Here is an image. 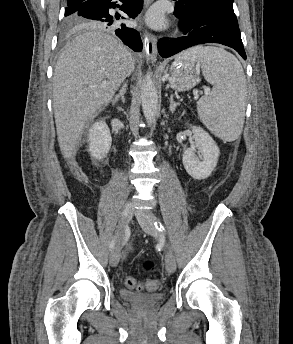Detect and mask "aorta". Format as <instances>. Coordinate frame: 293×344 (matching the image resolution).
<instances>
[{
	"instance_id": "1",
	"label": "aorta",
	"mask_w": 293,
	"mask_h": 344,
	"mask_svg": "<svg viewBox=\"0 0 293 344\" xmlns=\"http://www.w3.org/2000/svg\"><path fill=\"white\" fill-rule=\"evenodd\" d=\"M141 102L145 119L150 124L154 123L158 107V95L150 72L146 73L141 86Z\"/></svg>"
}]
</instances>
